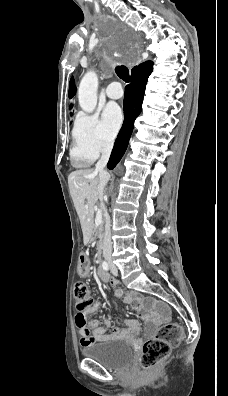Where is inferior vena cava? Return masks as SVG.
Listing matches in <instances>:
<instances>
[{
  "mask_svg": "<svg viewBox=\"0 0 228 396\" xmlns=\"http://www.w3.org/2000/svg\"><path fill=\"white\" fill-rule=\"evenodd\" d=\"M113 148V141H106L102 148V155L100 160L96 163V171L99 172V184L98 191L100 196L103 197L104 188L109 180V174L105 171V167L110 158V154ZM111 225H110V216L106 212L105 213V233L103 240V255L110 256L112 253V242H111Z\"/></svg>",
  "mask_w": 228,
  "mask_h": 396,
  "instance_id": "602c4592",
  "label": "inferior vena cava"
}]
</instances>
